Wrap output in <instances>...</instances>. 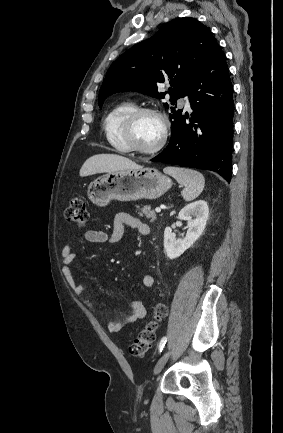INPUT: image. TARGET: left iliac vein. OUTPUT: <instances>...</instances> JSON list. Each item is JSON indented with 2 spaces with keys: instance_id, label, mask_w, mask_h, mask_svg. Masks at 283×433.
I'll list each match as a JSON object with an SVG mask.
<instances>
[{
  "instance_id": "4c4485c4",
  "label": "left iliac vein",
  "mask_w": 283,
  "mask_h": 433,
  "mask_svg": "<svg viewBox=\"0 0 283 433\" xmlns=\"http://www.w3.org/2000/svg\"><path fill=\"white\" fill-rule=\"evenodd\" d=\"M170 353H171L170 351H167L158 360V362L156 363L155 368H154L155 374H158L163 369V367L165 366V364L167 363V361L169 359Z\"/></svg>"
}]
</instances>
